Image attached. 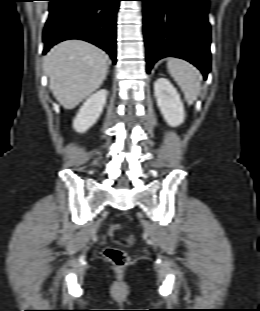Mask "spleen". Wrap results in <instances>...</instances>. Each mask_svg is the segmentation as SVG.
Instances as JSON below:
<instances>
[{
	"instance_id": "spleen-1",
	"label": "spleen",
	"mask_w": 260,
	"mask_h": 311,
	"mask_svg": "<svg viewBox=\"0 0 260 311\" xmlns=\"http://www.w3.org/2000/svg\"><path fill=\"white\" fill-rule=\"evenodd\" d=\"M167 68L183 91L187 103L193 104L200 92L201 74L199 70L191 63L179 58H169Z\"/></svg>"
}]
</instances>
